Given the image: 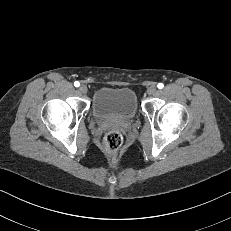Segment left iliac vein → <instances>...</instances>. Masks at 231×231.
Instances as JSON below:
<instances>
[{"instance_id":"left-iliac-vein-1","label":"left iliac vein","mask_w":231,"mask_h":231,"mask_svg":"<svg viewBox=\"0 0 231 231\" xmlns=\"http://www.w3.org/2000/svg\"><path fill=\"white\" fill-rule=\"evenodd\" d=\"M147 93L149 95H154L157 93V87L155 85H152L150 86L148 89H147Z\"/></svg>"}]
</instances>
